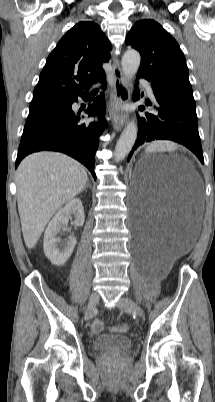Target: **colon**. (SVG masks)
Returning a JSON list of instances; mask_svg holds the SVG:
<instances>
[{"mask_svg": "<svg viewBox=\"0 0 215 402\" xmlns=\"http://www.w3.org/2000/svg\"><path fill=\"white\" fill-rule=\"evenodd\" d=\"M104 329V324L101 320H95L92 325H91V330L95 334H99L103 331ZM118 330L120 331H125L127 327L125 325H121L117 327Z\"/></svg>", "mask_w": 215, "mask_h": 402, "instance_id": "colon-1", "label": "colon"}]
</instances>
